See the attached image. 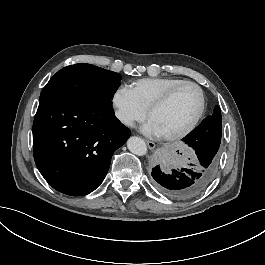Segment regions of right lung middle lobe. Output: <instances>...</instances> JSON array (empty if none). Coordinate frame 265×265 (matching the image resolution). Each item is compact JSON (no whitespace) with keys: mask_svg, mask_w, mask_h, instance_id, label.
Masks as SVG:
<instances>
[{"mask_svg":"<svg viewBox=\"0 0 265 265\" xmlns=\"http://www.w3.org/2000/svg\"><path fill=\"white\" fill-rule=\"evenodd\" d=\"M118 73L78 63L58 71L41 92L44 96H60L77 101L111 106L113 94L120 85Z\"/></svg>","mask_w":265,"mask_h":265,"instance_id":"right-lung-middle-lobe-1","label":"right lung middle lobe"}]
</instances>
